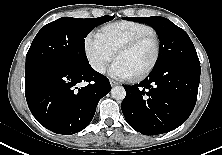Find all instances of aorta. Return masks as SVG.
<instances>
[{
    "label": "aorta",
    "instance_id": "obj_1",
    "mask_svg": "<svg viewBox=\"0 0 222 155\" xmlns=\"http://www.w3.org/2000/svg\"><path fill=\"white\" fill-rule=\"evenodd\" d=\"M111 96L115 100H123L126 96V91L122 86H115L111 89Z\"/></svg>",
    "mask_w": 222,
    "mask_h": 155
}]
</instances>
